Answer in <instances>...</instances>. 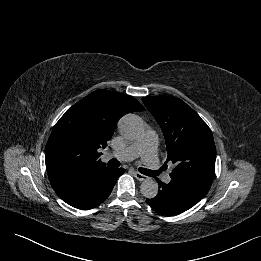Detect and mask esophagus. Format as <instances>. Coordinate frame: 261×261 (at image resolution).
Instances as JSON below:
<instances>
[{
  "instance_id": "1",
  "label": "esophagus",
  "mask_w": 261,
  "mask_h": 261,
  "mask_svg": "<svg viewBox=\"0 0 261 261\" xmlns=\"http://www.w3.org/2000/svg\"><path fill=\"white\" fill-rule=\"evenodd\" d=\"M134 176H135L138 180H140V181H144V180H147V179H148L147 176H145V175H143V174H141V173H139V172H137V171H134Z\"/></svg>"
}]
</instances>
